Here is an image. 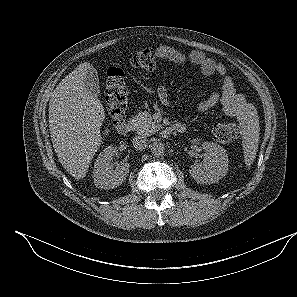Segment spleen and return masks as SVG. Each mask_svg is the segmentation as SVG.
I'll use <instances>...</instances> for the list:
<instances>
[{"instance_id":"3e777b00","label":"spleen","mask_w":297,"mask_h":297,"mask_svg":"<svg viewBox=\"0 0 297 297\" xmlns=\"http://www.w3.org/2000/svg\"><path fill=\"white\" fill-rule=\"evenodd\" d=\"M241 132L243 137V150L245 164L249 167L256 156L259 143V119L255 110L247 115L240 116Z\"/></svg>"}]
</instances>
